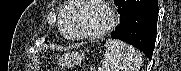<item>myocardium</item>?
<instances>
[{
  "label": "myocardium",
  "instance_id": "myocardium-1",
  "mask_svg": "<svg viewBox=\"0 0 181 71\" xmlns=\"http://www.w3.org/2000/svg\"><path fill=\"white\" fill-rule=\"evenodd\" d=\"M69 2H74L76 3V9L73 13L72 20H71V28H72V38L77 39V40H96L99 38L104 37L108 33H110L113 28L116 25L117 22V16L115 14L114 9L112 6L109 4V2L104 1V0H70ZM88 2H95L99 4L102 8L105 9V11L108 14V23L107 25L101 29L100 31L92 34H85L81 33L78 30V20H79V14L82 10V8L88 3Z\"/></svg>",
  "mask_w": 181,
  "mask_h": 71
}]
</instances>
